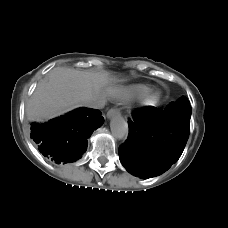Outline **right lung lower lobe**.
<instances>
[{
	"label": "right lung lower lobe",
	"mask_w": 228,
	"mask_h": 228,
	"mask_svg": "<svg viewBox=\"0 0 228 228\" xmlns=\"http://www.w3.org/2000/svg\"><path fill=\"white\" fill-rule=\"evenodd\" d=\"M99 110L78 108L46 123H32L30 137L44 156L56 163H69L81 158L94 129L104 118Z\"/></svg>",
	"instance_id": "obj_1"
}]
</instances>
